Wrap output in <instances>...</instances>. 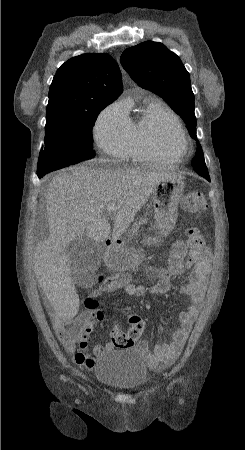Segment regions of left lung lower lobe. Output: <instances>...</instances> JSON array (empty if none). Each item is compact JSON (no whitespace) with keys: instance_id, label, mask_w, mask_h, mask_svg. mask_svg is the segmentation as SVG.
Returning <instances> with one entry per match:
<instances>
[{"instance_id":"left-lung-lower-lobe-1","label":"left lung lower lobe","mask_w":245,"mask_h":450,"mask_svg":"<svg viewBox=\"0 0 245 450\" xmlns=\"http://www.w3.org/2000/svg\"><path fill=\"white\" fill-rule=\"evenodd\" d=\"M201 176L204 177V178H206L208 181H210L209 174H202Z\"/></svg>"}]
</instances>
